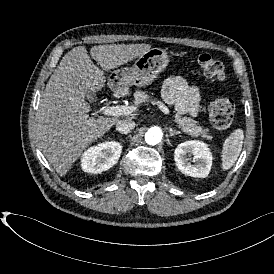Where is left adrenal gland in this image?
<instances>
[{
  "label": "left adrenal gland",
  "instance_id": "left-adrenal-gland-1",
  "mask_svg": "<svg viewBox=\"0 0 274 274\" xmlns=\"http://www.w3.org/2000/svg\"><path fill=\"white\" fill-rule=\"evenodd\" d=\"M180 133H181L180 131L173 130L172 128H169L170 136H174V135H177V134H180Z\"/></svg>",
  "mask_w": 274,
  "mask_h": 274
}]
</instances>
